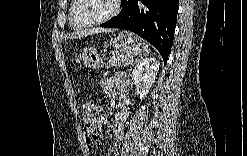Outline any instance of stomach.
<instances>
[{
    "mask_svg": "<svg viewBox=\"0 0 247 156\" xmlns=\"http://www.w3.org/2000/svg\"><path fill=\"white\" fill-rule=\"evenodd\" d=\"M106 46L119 49L122 53L132 58L142 53V44L140 39L134 33L129 31H121L114 35L110 42H106ZM82 61L85 66L91 69H99L103 67L104 61L95 48H85L82 52Z\"/></svg>",
    "mask_w": 247,
    "mask_h": 156,
    "instance_id": "obj_1",
    "label": "stomach"
}]
</instances>
